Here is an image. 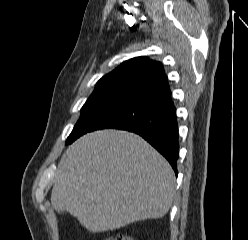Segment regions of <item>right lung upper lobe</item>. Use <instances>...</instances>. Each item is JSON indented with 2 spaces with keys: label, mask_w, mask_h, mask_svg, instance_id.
<instances>
[{
  "label": "right lung upper lobe",
  "mask_w": 248,
  "mask_h": 240,
  "mask_svg": "<svg viewBox=\"0 0 248 240\" xmlns=\"http://www.w3.org/2000/svg\"><path fill=\"white\" fill-rule=\"evenodd\" d=\"M101 90L134 97L137 101L170 91L162 64L146 57L125 61L103 76L94 91Z\"/></svg>",
  "instance_id": "1"
}]
</instances>
